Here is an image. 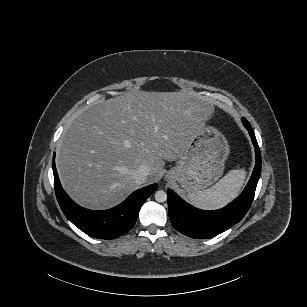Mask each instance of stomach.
<instances>
[{"mask_svg":"<svg viewBox=\"0 0 307 307\" xmlns=\"http://www.w3.org/2000/svg\"><path fill=\"white\" fill-rule=\"evenodd\" d=\"M230 147L225 136L215 127H200L178 165L167 173L187 192L201 191L220 179Z\"/></svg>","mask_w":307,"mask_h":307,"instance_id":"obj_1","label":"stomach"}]
</instances>
